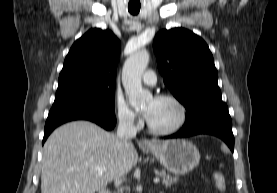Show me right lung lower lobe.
Returning a JSON list of instances; mask_svg holds the SVG:
<instances>
[{
	"instance_id": "right-lung-lower-lobe-1",
	"label": "right lung lower lobe",
	"mask_w": 277,
	"mask_h": 193,
	"mask_svg": "<svg viewBox=\"0 0 277 193\" xmlns=\"http://www.w3.org/2000/svg\"><path fill=\"white\" fill-rule=\"evenodd\" d=\"M72 120H89L106 130L113 129L116 124L115 116L91 107L73 104H53L46 120L42 143L45 142L49 134L56 127Z\"/></svg>"
}]
</instances>
